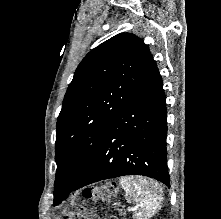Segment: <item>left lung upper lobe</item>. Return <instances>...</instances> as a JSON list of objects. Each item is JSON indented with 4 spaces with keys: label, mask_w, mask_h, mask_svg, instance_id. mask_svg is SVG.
<instances>
[{
    "label": "left lung upper lobe",
    "mask_w": 221,
    "mask_h": 219,
    "mask_svg": "<svg viewBox=\"0 0 221 219\" xmlns=\"http://www.w3.org/2000/svg\"><path fill=\"white\" fill-rule=\"evenodd\" d=\"M155 66L148 46L120 33L90 51L77 67L58 116L54 203H61L99 150L116 116Z\"/></svg>",
    "instance_id": "1"
}]
</instances>
